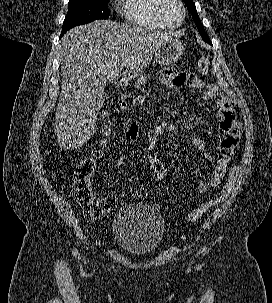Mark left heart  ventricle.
<instances>
[{"mask_svg":"<svg viewBox=\"0 0 272 303\" xmlns=\"http://www.w3.org/2000/svg\"><path fill=\"white\" fill-rule=\"evenodd\" d=\"M164 16L170 23L175 24L181 18V10L176 3L168 2L164 7Z\"/></svg>","mask_w":272,"mask_h":303,"instance_id":"1","label":"left heart ventricle"}]
</instances>
